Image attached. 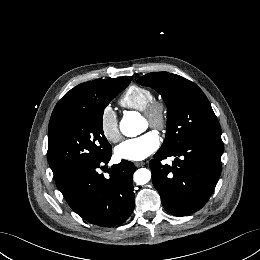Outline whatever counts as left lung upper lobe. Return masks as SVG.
<instances>
[{
    "mask_svg": "<svg viewBox=\"0 0 260 260\" xmlns=\"http://www.w3.org/2000/svg\"><path fill=\"white\" fill-rule=\"evenodd\" d=\"M157 90L167 106L166 138L160 149H175L191 140L221 137L212 107L193 82L176 74L154 72L138 80Z\"/></svg>",
    "mask_w": 260,
    "mask_h": 260,
    "instance_id": "1",
    "label": "left lung upper lobe"
}]
</instances>
